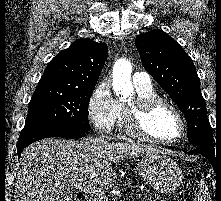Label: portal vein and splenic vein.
<instances>
[{"instance_id": "1", "label": "portal vein and splenic vein", "mask_w": 221, "mask_h": 201, "mask_svg": "<svg viewBox=\"0 0 221 201\" xmlns=\"http://www.w3.org/2000/svg\"><path fill=\"white\" fill-rule=\"evenodd\" d=\"M68 185L74 186L75 188L83 191L86 194H89L90 196L94 197L97 201H105L107 200V196L102 192L100 189L95 187L93 184H90L88 182L80 181L78 183L70 182ZM138 199H142L141 194H137Z\"/></svg>"}]
</instances>
